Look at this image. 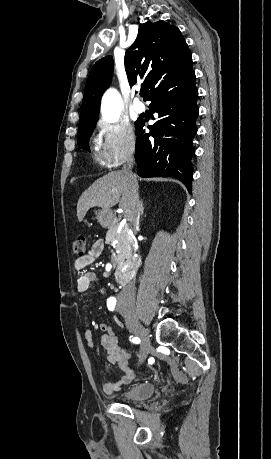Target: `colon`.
<instances>
[{"label":"colon","mask_w":271,"mask_h":459,"mask_svg":"<svg viewBox=\"0 0 271 459\" xmlns=\"http://www.w3.org/2000/svg\"><path fill=\"white\" fill-rule=\"evenodd\" d=\"M86 248V238L83 235L78 236L72 243V252L75 255H84ZM126 354V352H124Z\"/></svg>","instance_id":"colon-1"}]
</instances>
